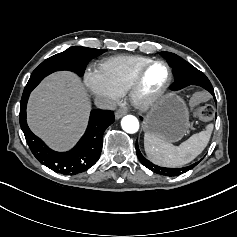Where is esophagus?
I'll use <instances>...</instances> for the list:
<instances>
[{"label": "esophagus", "mask_w": 237, "mask_h": 237, "mask_svg": "<svg viewBox=\"0 0 237 237\" xmlns=\"http://www.w3.org/2000/svg\"><path fill=\"white\" fill-rule=\"evenodd\" d=\"M126 113H127L126 109H119L115 113V119L118 120V119L122 118Z\"/></svg>", "instance_id": "esophagus-1"}]
</instances>
